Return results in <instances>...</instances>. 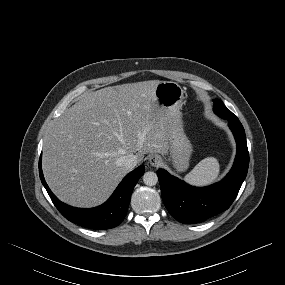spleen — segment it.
<instances>
[{
	"mask_svg": "<svg viewBox=\"0 0 285 285\" xmlns=\"http://www.w3.org/2000/svg\"><path fill=\"white\" fill-rule=\"evenodd\" d=\"M219 172L220 165L218 160L214 157H207L201 160L194 169L184 177V180L195 186L209 185L217 180Z\"/></svg>",
	"mask_w": 285,
	"mask_h": 285,
	"instance_id": "spleen-1",
	"label": "spleen"
}]
</instances>
